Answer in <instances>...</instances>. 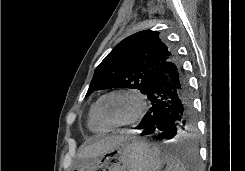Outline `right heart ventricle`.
<instances>
[{"label": "right heart ventricle", "instance_id": "right-heart-ventricle-1", "mask_svg": "<svg viewBox=\"0 0 245 171\" xmlns=\"http://www.w3.org/2000/svg\"><path fill=\"white\" fill-rule=\"evenodd\" d=\"M88 127L97 133H104L108 131V127L101 124L95 116V103L91 106L88 115Z\"/></svg>", "mask_w": 245, "mask_h": 171}]
</instances>
